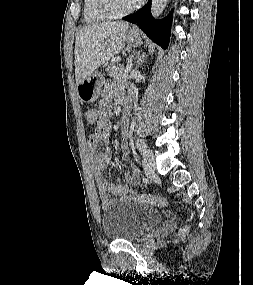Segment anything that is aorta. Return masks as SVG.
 I'll list each match as a JSON object with an SVG mask.
<instances>
[{
	"mask_svg": "<svg viewBox=\"0 0 253 285\" xmlns=\"http://www.w3.org/2000/svg\"><path fill=\"white\" fill-rule=\"evenodd\" d=\"M168 0H152L151 3V15L154 18L159 17L164 11Z\"/></svg>",
	"mask_w": 253,
	"mask_h": 285,
	"instance_id": "1",
	"label": "aorta"
}]
</instances>
